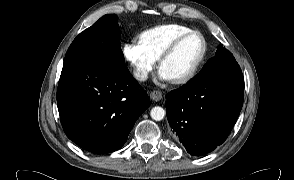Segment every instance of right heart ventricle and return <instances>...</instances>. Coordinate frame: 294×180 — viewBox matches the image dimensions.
I'll list each match as a JSON object with an SVG mask.
<instances>
[{
    "label": "right heart ventricle",
    "instance_id": "1",
    "mask_svg": "<svg viewBox=\"0 0 294 180\" xmlns=\"http://www.w3.org/2000/svg\"><path fill=\"white\" fill-rule=\"evenodd\" d=\"M184 24H163L142 30L138 34V41L144 49L155 59H159L165 49L180 35L191 31Z\"/></svg>",
    "mask_w": 294,
    "mask_h": 180
}]
</instances>
